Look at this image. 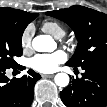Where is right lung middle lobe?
<instances>
[{
	"label": "right lung middle lobe",
	"mask_w": 107,
	"mask_h": 107,
	"mask_svg": "<svg viewBox=\"0 0 107 107\" xmlns=\"http://www.w3.org/2000/svg\"><path fill=\"white\" fill-rule=\"evenodd\" d=\"M27 24L14 13L0 10V67L17 66L13 58L22 55L21 39Z\"/></svg>",
	"instance_id": "obj_1"
}]
</instances>
